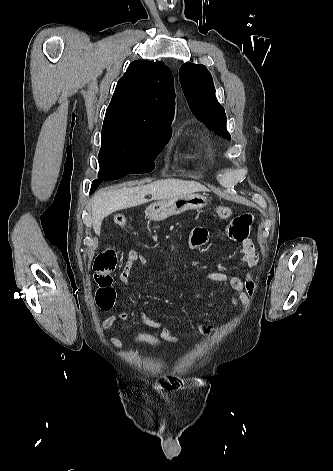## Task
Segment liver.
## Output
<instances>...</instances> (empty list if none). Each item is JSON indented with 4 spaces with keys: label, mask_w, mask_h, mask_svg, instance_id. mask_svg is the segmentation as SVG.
<instances>
[{
    "label": "liver",
    "mask_w": 333,
    "mask_h": 471,
    "mask_svg": "<svg viewBox=\"0 0 333 471\" xmlns=\"http://www.w3.org/2000/svg\"><path fill=\"white\" fill-rule=\"evenodd\" d=\"M207 191V188L195 181L179 179L158 180L144 186L106 188L98 191L92 198V224L94 232L99 236L103 219L113 212L136 207L147 202L145 196L152 195L151 200L163 201L194 192Z\"/></svg>",
    "instance_id": "liver-1"
}]
</instances>
